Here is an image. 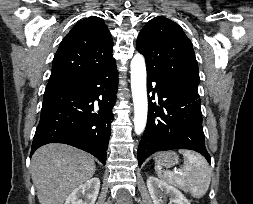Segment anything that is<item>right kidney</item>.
<instances>
[{
	"mask_svg": "<svg viewBox=\"0 0 253 204\" xmlns=\"http://www.w3.org/2000/svg\"><path fill=\"white\" fill-rule=\"evenodd\" d=\"M100 189L97 177L87 180L67 197L65 204H95Z\"/></svg>",
	"mask_w": 253,
	"mask_h": 204,
	"instance_id": "ca27d5eb",
	"label": "right kidney"
}]
</instances>
